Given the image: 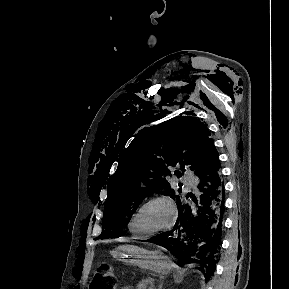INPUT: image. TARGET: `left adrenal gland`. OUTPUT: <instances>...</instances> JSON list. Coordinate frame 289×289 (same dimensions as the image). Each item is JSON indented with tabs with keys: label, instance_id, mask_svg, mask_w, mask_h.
Instances as JSON below:
<instances>
[{
	"label": "left adrenal gland",
	"instance_id": "a2214340",
	"mask_svg": "<svg viewBox=\"0 0 289 289\" xmlns=\"http://www.w3.org/2000/svg\"><path fill=\"white\" fill-rule=\"evenodd\" d=\"M162 286H163V284L161 283V284H159V286H158V288L157 289H162Z\"/></svg>",
	"mask_w": 289,
	"mask_h": 289
}]
</instances>
